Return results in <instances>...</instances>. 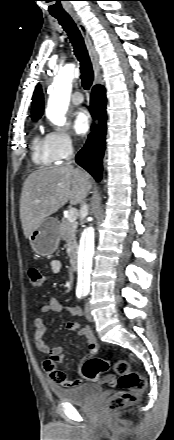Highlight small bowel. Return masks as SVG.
Segmentation results:
<instances>
[{"label": "small bowel", "mask_w": 174, "mask_h": 440, "mask_svg": "<svg viewBox=\"0 0 174 440\" xmlns=\"http://www.w3.org/2000/svg\"><path fill=\"white\" fill-rule=\"evenodd\" d=\"M60 267H61L60 263L57 260H54L50 263V269L53 274L58 273L60 271ZM61 309H62L61 302L56 298H51L46 304L42 305L39 308V313L40 314L57 313L61 311ZM69 309L74 313L80 315V312L76 308L69 307ZM33 328L35 332V343L37 349L42 354L51 358L50 360H46L44 363V369L51 377V379L55 383L64 387H74L84 382L85 379L82 374L83 361L80 363L78 368L79 378L77 379L68 378L63 371L57 369L55 366V360L58 361L64 360L63 347L62 346L50 347L49 345H47V343L44 340L46 325L41 318L34 319ZM66 329L68 331L78 330V334L85 338L87 343L88 356L95 355L98 352L99 345L97 339L89 326L87 325L81 326L76 322H70L67 324Z\"/></svg>", "instance_id": "obj_1"}]
</instances>
